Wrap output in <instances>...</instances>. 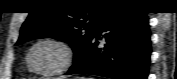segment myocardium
<instances>
[{
  "label": "myocardium",
  "mask_w": 177,
  "mask_h": 79,
  "mask_svg": "<svg viewBox=\"0 0 177 79\" xmlns=\"http://www.w3.org/2000/svg\"><path fill=\"white\" fill-rule=\"evenodd\" d=\"M42 44H53V45L57 46L61 50V53H62V59H61V62L59 63V65L49 71H41V70L36 69L33 66L32 61H31V55H32L33 51L35 50V48H37L39 45H42ZM74 57H75L74 48L67 41L62 40V39H57V38H45V39H41V40L37 41L29 49V51L27 53L26 62H27V66L29 67V69L36 74L54 75L57 73H61L66 68H68L72 64Z\"/></svg>",
  "instance_id": "myocardium-1"
}]
</instances>
